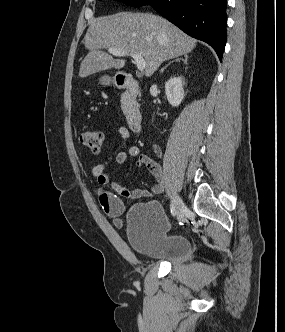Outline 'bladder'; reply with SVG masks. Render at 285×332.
Returning a JSON list of instances; mask_svg holds the SVG:
<instances>
[{"instance_id": "1", "label": "bladder", "mask_w": 285, "mask_h": 332, "mask_svg": "<svg viewBox=\"0 0 285 332\" xmlns=\"http://www.w3.org/2000/svg\"><path fill=\"white\" fill-rule=\"evenodd\" d=\"M126 231L131 248L144 257L181 264L193 254L186 237L169 233L168 220L157 202L133 205L126 216Z\"/></svg>"}]
</instances>
